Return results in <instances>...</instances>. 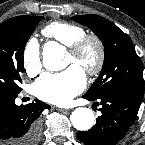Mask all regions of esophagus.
Returning a JSON list of instances; mask_svg holds the SVG:
<instances>
[{
  "label": "esophagus",
  "instance_id": "esophagus-1",
  "mask_svg": "<svg viewBox=\"0 0 145 145\" xmlns=\"http://www.w3.org/2000/svg\"><path fill=\"white\" fill-rule=\"evenodd\" d=\"M59 112H69V109L57 108Z\"/></svg>",
  "mask_w": 145,
  "mask_h": 145
}]
</instances>
